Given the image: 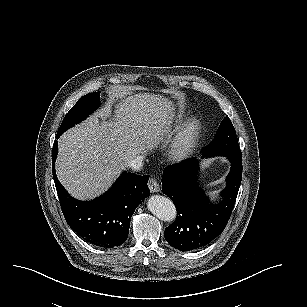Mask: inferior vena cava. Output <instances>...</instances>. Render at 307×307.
<instances>
[{
    "instance_id": "1",
    "label": "inferior vena cava",
    "mask_w": 307,
    "mask_h": 307,
    "mask_svg": "<svg viewBox=\"0 0 307 307\" xmlns=\"http://www.w3.org/2000/svg\"><path fill=\"white\" fill-rule=\"evenodd\" d=\"M127 167L133 171H140L143 167V156H136L134 159L128 162Z\"/></svg>"
}]
</instances>
